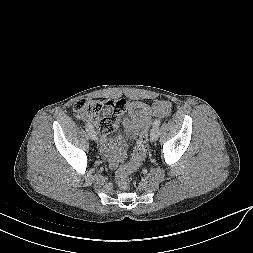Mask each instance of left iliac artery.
<instances>
[{
  "label": "left iliac artery",
  "mask_w": 253,
  "mask_h": 253,
  "mask_svg": "<svg viewBox=\"0 0 253 253\" xmlns=\"http://www.w3.org/2000/svg\"><path fill=\"white\" fill-rule=\"evenodd\" d=\"M160 123H161V121H160V120H156V121H154V123H153V127H159Z\"/></svg>",
  "instance_id": "obj_1"
}]
</instances>
